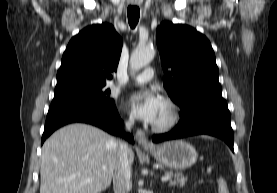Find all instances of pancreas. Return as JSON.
Listing matches in <instances>:
<instances>
[{
	"mask_svg": "<svg viewBox=\"0 0 277 193\" xmlns=\"http://www.w3.org/2000/svg\"><path fill=\"white\" fill-rule=\"evenodd\" d=\"M165 176H169L170 178L174 177V179H171L169 181L170 186H176V185L183 186L187 180L185 177L180 175H174L172 172H166Z\"/></svg>",
	"mask_w": 277,
	"mask_h": 193,
	"instance_id": "pancreas-1",
	"label": "pancreas"
}]
</instances>
